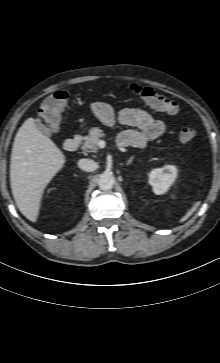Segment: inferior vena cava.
Returning <instances> with one entry per match:
<instances>
[{
  "label": "inferior vena cava",
  "mask_w": 220,
  "mask_h": 363,
  "mask_svg": "<svg viewBox=\"0 0 220 363\" xmlns=\"http://www.w3.org/2000/svg\"><path fill=\"white\" fill-rule=\"evenodd\" d=\"M78 167L86 172H92L98 168V165L91 159L83 158L78 161Z\"/></svg>",
  "instance_id": "602c4592"
}]
</instances>
